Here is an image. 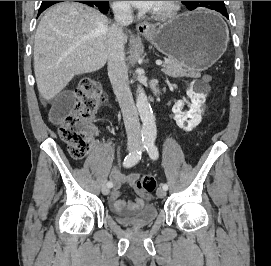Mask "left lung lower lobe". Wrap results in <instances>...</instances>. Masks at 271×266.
I'll use <instances>...</instances> for the list:
<instances>
[{
  "instance_id": "obj_1",
  "label": "left lung lower lobe",
  "mask_w": 271,
  "mask_h": 266,
  "mask_svg": "<svg viewBox=\"0 0 271 266\" xmlns=\"http://www.w3.org/2000/svg\"><path fill=\"white\" fill-rule=\"evenodd\" d=\"M223 16H225L226 18H228V14H227V11H222L220 12Z\"/></svg>"
}]
</instances>
